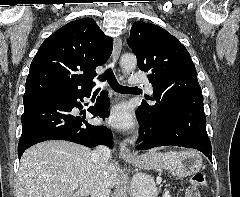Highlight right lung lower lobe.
Masks as SVG:
<instances>
[{
    "label": "right lung lower lobe",
    "instance_id": "right-lung-lower-lobe-1",
    "mask_svg": "<svg viewBox=\"0 0 240 197\" xmlns=\"http://www.w3.org/2000/svg\"><path fill=\"white\" fill-rule=\"evenodd\" d=\"M90 96L85 92L61 91L47 96L35 97L24 101V113L21 117L22 135L18 144V157L30 146L47 140H67L87 147L107 145L112 147V135L104 126H93L85 117L74 116V107L82 108L78 100ZM96 104L89 108L94 116L105 115L109 107L107 92L102 91Z\"/></svg>",
    "mask_w": 240,
    "mask_h": 197
}]
</instances>
